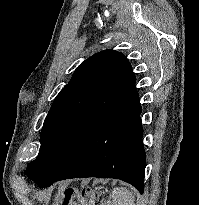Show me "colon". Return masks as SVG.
I'll return each mask as SVG.
<instances>
[{"mask_svg":"<svg viewBox=\"0 0 199 205\" xmlns=\"http://www.w3.org/2000/svg\"><path fill=\"white\" fill-rule=\"evenodd\" d=\"M78 191L74 187H67L61 197L62 205H71L77 197ZM82 205H104L106 201V192L103 188L85 189L80 196Z\"/></svg>","mask_w":199,"mask_h":205,"instance_id":"obj_1","label":"colon"}]
</instances>
